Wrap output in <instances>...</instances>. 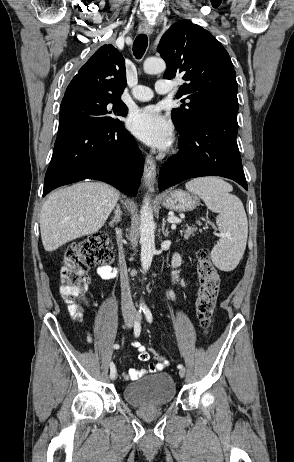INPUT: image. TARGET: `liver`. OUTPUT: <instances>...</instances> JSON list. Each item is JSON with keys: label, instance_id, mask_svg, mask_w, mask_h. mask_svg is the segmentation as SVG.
Masks as SVG:
<instances>
[{"label": "liver", "instance_id": "1", "mask_svg": "<svg viewBox=\"0 0 294 462\" xmlns=\"http://www.w3.org/2000/svg\"><path fill=\"white\" fill-rule=\"evenodd\" d=\"M119 196L117 189L102 182L78 183L53 192L40 215L44 249L51 252L76 238L96 233Z\"/></svg>", "mask_w": 294, "mask_h": 462}]
</instances>
